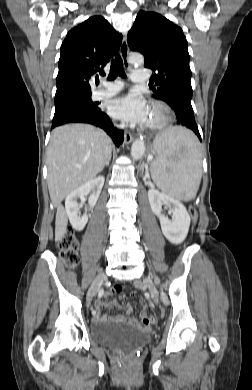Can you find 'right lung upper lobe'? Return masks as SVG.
<instances>
[{"instance_id":"right-lung-upper-lobe-1","label":"right lung upper lobe","mask_w":252,"mask_h":390,"mask_svg":"<svg viewBox=\"0 0 252 390\" xmlns=\"http://www.w3.org/2000/svg\"><path fill=\"white\" fill-rule=\"evenodd\" d=\"M121 42L122 35L101 16L70 30L61 45L55 101L91 95L89 80L96 72L103 73Z\"/></svg>"}]
</instances>
